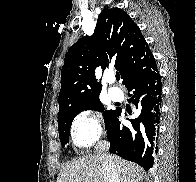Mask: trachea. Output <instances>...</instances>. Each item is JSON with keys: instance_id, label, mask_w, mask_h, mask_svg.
<instances>
[{"instance_id": "trachea-1", "label": "trachea", "mask_w": 196, "mask_h": 182, "mask_svg": "<svg viewBox=\"0 0 196 182\" xmlns=\"http://www.w3.org/2000/svg\"><path fill=\"white\" fill-rule=\"evenodd\" d=\"M116 79H117V80L120 79V74H116Z\"/></svg>"}]
</instances>
